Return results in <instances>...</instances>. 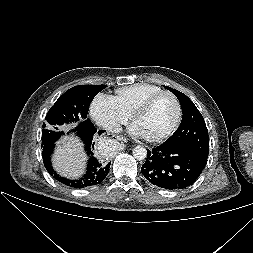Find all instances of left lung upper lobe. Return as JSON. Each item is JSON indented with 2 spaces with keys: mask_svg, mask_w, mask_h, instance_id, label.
I'll use <instances>...</instances> for the list:
<instances>
[{
  "mask_svg": "<svg viewBox=\"0 0 253 253\" xmlns=\"http://www.w3.org/2000/svg\"><path fill=\"white\" fill-rule=\"evenodd\" d=\"M172 91L180 101L183 117L176 132L163 144L188 147L208 157V130L203 116L195 104L182 92L166 87Z\"/></svg>",
  "mask_w": 253,
  "mask_h": 253,
  "instance_id": "5c2ea615",
  "label": "left lung upper lobe"
}]
</instances>
